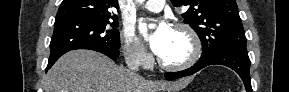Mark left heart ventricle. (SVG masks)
I'll return each mask as SVG.
<instances>
[{"mask_svg": "<svg viewBox=\"0 0 289 92\" xmlns=\"http://www.w3.org/2000/svg\"><path fill=\"white\" fill-rule=\"evenodd\" d=\"M191 51L192 45L188 36L174 29L170 45L161 58L167 63H181L189 58Z\"/></svg>", "mask_w": 289, "mask_h": 92, "instance_id": "left-heart-ventricle-1", "label": "left heart ventricle"}]
</instances>
